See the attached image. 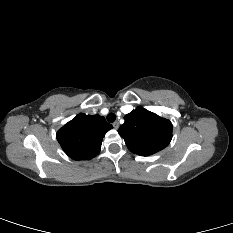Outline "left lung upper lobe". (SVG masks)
<instances>
[{"mask_svg": "<svg viewBox=\"0 0 233 233\" xmlns=\"http://www.w3.org/2000/svg\"><path fill=\"white\" fill-rule=\"evenodd\" d=\"M118 133L128 149L140 156H149L168 146L172 139V123L142 107L125 116Z\"/></svg>", "mask_w": 233, "mask_h": 233, "instance_id": "obj_1", "label": "left lung upper lobe"}]
</instances>
